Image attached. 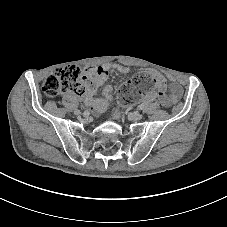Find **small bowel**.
I'll use <instances>...</instances> for the list:
<instances>
[{
    "label": "small bowel",
    "mask_w": 227,
    "mask_h": 227,
    "mask_svg": "<svg viewBox=\"0 0 227 227\" xmlns=\"http://www.w3.org/2000/svg\"><path fill=\"white\" fill-rule=\"evenodd\" d=\"M111 70H116L123 74L130 72V68L127 66L110 63L100 66H88L83 70L84 92L81 96L92 110L99 113L107 108L113 98V87L106 84ZM149 75L154 78L158 93L149 92L145 95L147 100L154 99L158 96L163 106L170 107L180 99L182 88L173 78H170L171 83L168 86L165 77L157 71L152 70L149 72ZM99 86H103L102 96H97Z\"/></svg>",
    "instance_id": "c3829d8e"
}]
</instances>
